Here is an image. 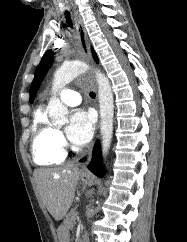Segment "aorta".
I'll return each instance as SVG.
<instances>
[{
    "mask_svg": "<svg viewBox=\"0 0 187 242\" xmlns=\"http://www.w3.org/2000/svg\"><path fill=\"white\" fill-rule=\"evenodd\" d=\"M89 70V66L81 61H73L63 64L54 74L53 79V96L51 97L48 108L49 117L55 121H63L68 109L62 104L56 93L78 75ZM96 81L98 84V96L100 103V118H101V144L103 157L106 158L111 146L113 135V115H114V99L111 90V84L108 78L96 71Z\"/></svg>",
    "mask_w": 187,
    "mask_h": 242,
    "instance_id": "aorta-1",
    "label": "aorta"
}]
</instances>
